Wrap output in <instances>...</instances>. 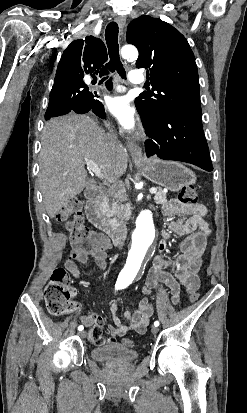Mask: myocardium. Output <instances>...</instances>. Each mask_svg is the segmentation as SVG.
I'll list each match as a JSON object with an SVG mask.
<instances>
[{"label": "myocardium", "instance_id": "f54148a6", "mask_svg": "<svg viewBox=\"0 0 247 413\" xmlns=\"http://www.w3.org/2000/svg\"><path fill=\"white\" fill-rule=\"evenodd\" d=\"M138 136H139L140 138H145V137L147 136L146 130L142 129V130L139 132Z\"/></svg>", "mask_w": 247, "mask_h": 413}]
</instances>
